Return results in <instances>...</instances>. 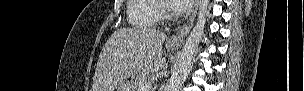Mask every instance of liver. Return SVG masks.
Here are the masks:
<instances>
[{
  "mask_svg": "<svg viewBox=\"0 0 304 91\" xmlns=\"http://www.w3.org/2000/svg\"><path fill=\"white\" fill-rule=\"evenodd\" d=\"M166 34L150 28H120L99 55L92 91H115L129 77L162 70Z\"/></svg>",
  "mask_w": 304,
  "mask_h": 91,
  "instance_id": "6515ba94",
  "label": "liver"
}]
</instances>
